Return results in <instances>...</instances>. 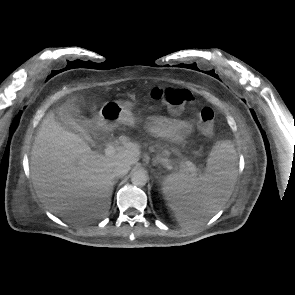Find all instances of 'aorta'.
I'll list each match as a JSON object with an SVG mask.
<instances>
[{
    "label": "aorta",
    "mask_w": 295,
    "mask_h": 295,
    "mask_svg": "<svg viewBox=\"0 0 295 295\" xmlns=\"http://www.w3.org/2000/svg\"><path fill=\"white\" fill-rule=\"evenodd\" d=\"M148 174L145 170H137L131 176V182L135 186L142 187L147 183Z\"/></svg>",
    "instance_id": "obj_1"
}]
</instances>
